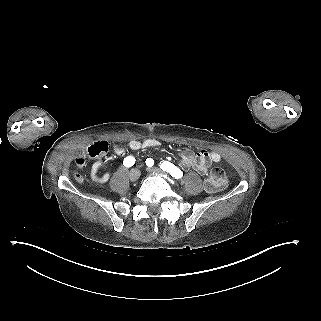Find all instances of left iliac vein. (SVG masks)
<instances>
[{"label":"left iliac vein","instance_id":"obj_1","mask_svg":"<svg viewBox=\"0 0 321 321\" xmlns=\"http://www.w3.org/2000/svg\"><path fill=\"white\" fill-rule=\"evenodd\" d=\"M147 171L149 173H151V174H158V175H164L165 174L163 171H161L160 169L155 168V167H148Z\"/></svg>","mask_w":321,"mask_h":321}]
</instances>
